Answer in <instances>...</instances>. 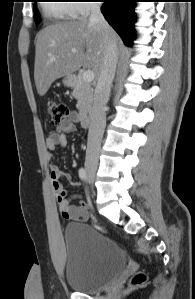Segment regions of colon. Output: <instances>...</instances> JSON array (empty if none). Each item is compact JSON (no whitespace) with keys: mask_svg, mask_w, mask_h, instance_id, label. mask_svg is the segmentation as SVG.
<instances>
[{"mask_svg":"<svg viewBox=\"0 0 195 299\" xmlns=\"http://www.w3.org/2000/svg\"><path fill=\"white\" fill-rule=\"evenodd\" d=\"M46 107H47L48 114L50 115L52 124L61 123L69 115V107L66 103L57 102V101H48ZM82 213L87 216V219H89L97 229L103 230V228L96 222V220L93 217H91L87 209H83ZM145 280H146V276L142 273H139L133 277L131 284L137 286L143 284Z\"/></svg>","mask_w":195,"mask_h":299,"instance_id":"colon-1","label":"colon"}]
</instances>
